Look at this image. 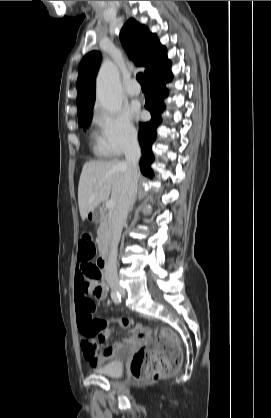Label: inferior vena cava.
I'll use <instances>...</instances> for the list:
<instances>
[{"label": "inferior vena cava", "instance_id": "inferior-vena-cava-1", "mask_svg": "<svg viewBox=\"0 0 271 418\" xmlns=\"http://www.w3.org/2000/svg\"><path fill=\"white\" fill-rule=\"evenodd\" d=\"M141 157V148L137 138H133L125 150L126 174L122 193L118 199L112 215V242L105 276L107 283L117 284V248L121 237L123 225L126 223L128 211L135 199L138 182V162Z\"/></svg>", "mask_w": 271, "mask_h": 418}]
</instances>
